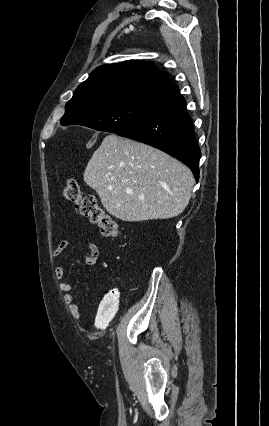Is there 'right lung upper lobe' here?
I'll return each instance as SVG.
<instances>
[{"label": "right lung upper lobe", "mask_w": 269, "mask_h": 426, "mask_svg": "<svg viewBox=\"0 0 269 426\" xmlns=\"http://www.w3.org/2000/svg\"><path fill=\"white\" fill-rule=\"evenodd\" d=\"M171 80L152 62L129 60L96 68L74 93L91 95L96 92L144 90L163 92Z\"/></svg>", "instance_id": "obj_1"}]
</instances>
